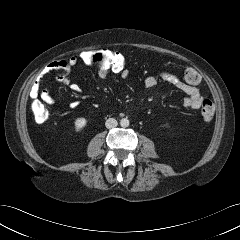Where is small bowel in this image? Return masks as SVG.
Masks as SVG:
<instances>
[{"label": "small bowel", "mask_w": 240, "mask_h": 240, "mask_svg": "<svg viewBox=\"0 0 240 240\" xmlns=\"http://www.w3.org/2000/svg\"><path fill=\"white\" fill-rule=\"evenodd\" d=\"M78 59L75 55L59 59L52 62L49 66L51 70L58 72L55 84L68 86L72 91L79 93L81 92V87L79 84L72 82L70 78L71 70L78 64ZM111 73H116L107 68L97 67V74L100 79L107 78ZM119 74L122 78H127L129 75L128 70L122 71ZM160 77L163 81L167 82L171 86L180 90L185 94L183 100V106L188 109H198L202 106L205 100L200 93L199 88L196 85H189L183 82L177 75L169 72L162 71ZM157 78L155 76H147L144 80L146 88H153L157 85ZM30 96L35 99L40 97L46 104L52 105L55 103V99L52 96V87H47L40 91L39 84L36 83L31 88ZM70 108H76L78 106L77 101H72L69 104Z\"/></svg>", "instance_id": "1"}]
</instances>
